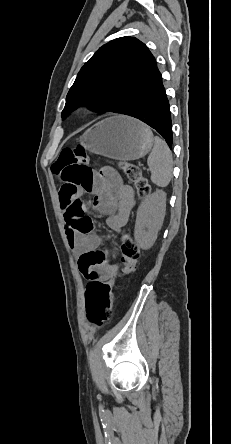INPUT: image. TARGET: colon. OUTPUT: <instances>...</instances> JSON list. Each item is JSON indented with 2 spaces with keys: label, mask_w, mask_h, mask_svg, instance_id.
<instances>
[{
  "label": "colon",
  "mask_w": 231,
  "mask_h": 444,
  "mask_svg": "<svg viewBox=\"0 0 231 444\" xmlns=\"http://www.w3.org/2000/svg\"><path fill=\"white\" fill-rule=\"evenodd\" d=\"M121 170L128 180L134 183L140 198L146 197L150 192L147 180L142 175L140 168L131 162L119 163ZM53 173L64 182V186L75 188H87L91 186L94 178V169L87 164V157L82 147L64 148L52 166ZM71 215L74 219V227L80 234H90L93 222L87 215L86 206L82 201H76L71 205ZM124 268L119 277L132 274L137 266L140 256L139 247L129 233H125L120 246ZM115 280L113 277L91 281L86 289V307L89 321L98 327L107 323L112 316L113 296Z\"/></svg>",
  "instance_id": "obj_1"
}]
</instances>
